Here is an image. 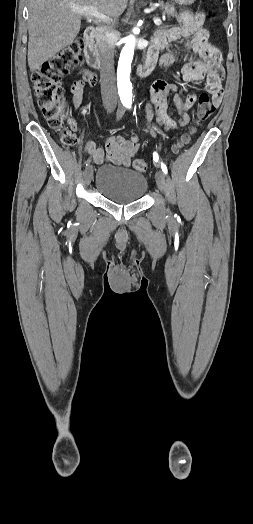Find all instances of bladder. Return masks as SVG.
<instances>
[{
  "instance_id": "31cf9c89",
  "label": "bladder",
  "mask_w": 253,
  "mask_h": 524,
  "mask_svg": "<svg viewBox=\"0 0 253 524\" xmlns=\"http://www.w3.org/2000/svg\"><path fill=\"white\" fill-rule=\"evenodd\" d=\"M95 187L106 199L125 205L140 200L148 182L145 175L131 169L104 165L97 171Z\"/></svg>"
}]
</instances>
